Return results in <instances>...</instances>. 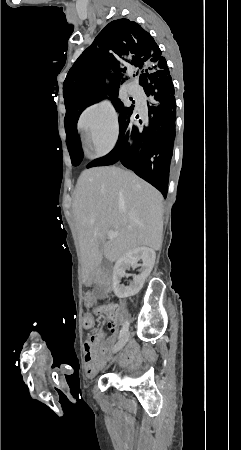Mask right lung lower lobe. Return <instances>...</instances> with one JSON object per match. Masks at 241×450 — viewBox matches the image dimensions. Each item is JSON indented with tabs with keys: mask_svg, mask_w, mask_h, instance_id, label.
Instances as JSON below:
<instances>
[{
	"mask_svg": "<svg viewBox=\"0 0 241 450\" xmlns=\"http://www.w3.org/2000/svg\"><path fill=\"white\" fill-rule=\"evenodd\" d=\"M139 82L146 95L150 96L147 102V125H134V116L122 121L114 149L106 156L92 161L87 167L120 162L166 197L176 120L175 91L167 64L163 67H151L140 76ZM79 115L65 117L64 124L69 149L83 154L76 129Z\"/></svg>",
	"mask_w": 241,
	"mask_h": 450,
	"instance_id": "98d812e1",
	"label": "right lung lower lobe"
}]
</instances>
